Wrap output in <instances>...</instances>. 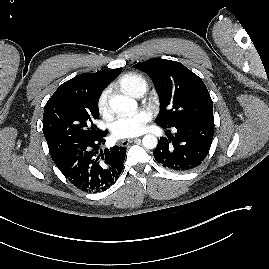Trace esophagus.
Wrapping results in <instances>:
<instances>
[{
  "label": "esophagus",
  "instance_id": "obj_1",
  "mask_svg": "<svg viewBox=\"0 0 269 269\" xmlns=\"http://www.w3.org/2000/svg\"><path fill=\"white\" fill-rule=\"evenodd\" d=\"M138 141H140V138H133V139H127V140L125 139L121 141V145L126 147L129 145V143L138 142Z\"/></svg>",
  "mask_w": 269,
  "mask_h": 269
}]
</instances>
